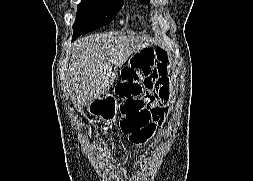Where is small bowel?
<instances>
[{"instance_id": "obj_1", "label": "small bowel", "mask_w": 253, "mask_h": 181, "mask_svg": "<svg viewBox=\"0 0 253 181\" xmlns=\"http://www.w3.org/2000/svg\"><path fill=\"white\" fill-rule=\"evenodd\" d=\"M143 84L150 97L157 96L159 98L162 116L167 114L171 88L170 72L167 66L152 59Z\"/></svg>"}]
</instances>
